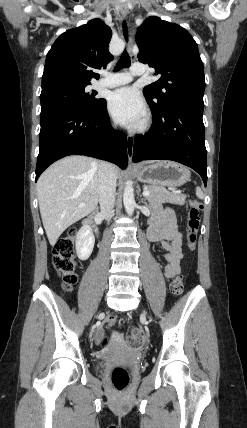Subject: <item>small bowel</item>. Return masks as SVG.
<instances>
[{"label": "small bowel", "instance_id": "c3829d8e", "mask_svg": "<svg viewBox=\"0 0 247 428\" xmlns=\"http://www.w3.org/2000/svg\"><path fill=\"white\" fill-rule=\"evenodd\" d=\"M148 238L153 242H160L166 251L165 259L167 265L165 268V277L172 278L180 271V262L182 254V235L176 224L174 212L169 209H162L155 206L153 209V219L148 229ZM102 329L96 333V341L102 338Z\"/></svg>", "mask_w": 247, "mask_h": 428}]
</instances>
